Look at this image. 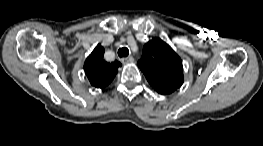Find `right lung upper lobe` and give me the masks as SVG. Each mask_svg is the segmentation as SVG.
I'll list each match as a JSON object with an SVG mask.
<instances>
[{
	"label": "right lung upper lobe",
	"instance_id": "cb5924a9",
	"mask_svg": "<svg viewBox=\"0 0 263 146\" xmlns=\"http://www.w3.org/2000/svg\"><path fill=\"white\" fill-rule=\"evenodd\" d=\"M104 48L98 44L84 63V71L92 86L104 88L109 85L117 74L121 63L106 62L103 58Z\"/></svg>",
	"mask_w": 263,
	"mask_h": 146
}]
</instances>
